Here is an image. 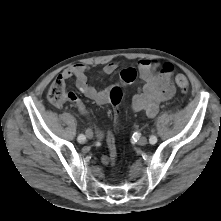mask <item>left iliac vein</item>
<instances>
[{
	"label": "left iliac vein",
	"mask_w": 221,
	"mask_h": 221,
	"mask_svg": "<svg viewBox=\"0 0 221 221\" xmlns=\"http://www.w3.org/2000/svg\"><path fill=\"white\" fill-rule=\"evenodd\" d=\"M147 142H148V140H147L146 137H141V138H139V140H138V144L141 145V146L146 145Z\"/></svg>",
	"instance_id": "obj_1"
}]
</instances>
